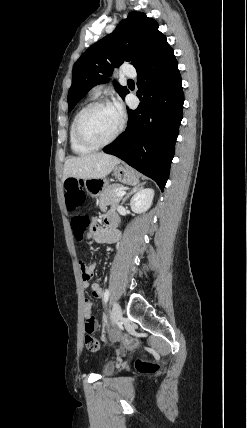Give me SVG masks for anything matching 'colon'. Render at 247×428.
<instances>
[{
  "label": "colon",
  "mask_w": 247,
  "mask_h": 428,
  "mask_svg": "<svg viewBox=\"0 0 247 428\" xmlns=\"http://www.w3.org/2000/svg\"><path fill=\"white\" fill-rule=\"evenodd\" d=\"M65 195L64 202L65 208H67L68 217H72V226L76 239L81 240L93 226V217H88L89 211L88 206L85 204V193L82 187V183L76 179H67L64 183ZM82 305L85 304L87 307H96L94 300H85L80 302ZM84 330L87 335L84 338L85 346L90 351H97L100 348L99 341L94 338L98 323L92 318L87 317L84 320ZM125 343L129 347L137 345V340L133 338H126ZM149 370H154L156 367L149 365L145 367Z\"/></svg>",
  "instance_id": "5ec220e1"
}]
</instances>
